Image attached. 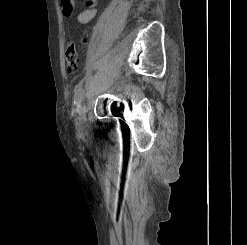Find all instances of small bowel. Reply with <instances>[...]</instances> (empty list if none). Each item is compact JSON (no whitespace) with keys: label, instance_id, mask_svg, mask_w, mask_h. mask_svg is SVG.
<instances>
[{"label":"small bowel","instance_id":"obj_1","mask_svg":"<svg viewBox=\"0 0 247 245\" xmlns=\"http://www.w3.org/2000/svg\"><path fill=\"white\" fill-rule=\"evenodd\" d=\"M87 8L77 14L76 19L80 24L90 22L96 15L98 0H85ZM62 10L65 16L69 17L73 13V0H61Z\"/></svg>","mask_w":247,"mask_h":245}]
</instances>
